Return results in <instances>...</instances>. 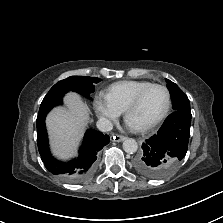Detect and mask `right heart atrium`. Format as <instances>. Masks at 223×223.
<instances>
[{
	"mask_svg": "<svg viewBox=\"0 0 223 223\" xmlns=\"http://www.w3.org/2000/svg\"><path fill=\"white\" fill-rule=\"evenodd\" d=\"M94 107L99 118L107 124L116 120L121 114V111L103 94L95 97Z\"/></svg>",
	"mask_w": 223,
	"mask_h": 223,
	"instance_id": "right-heart-atrium-1",
	"label": "right heart atrium"
}]
</instances>
